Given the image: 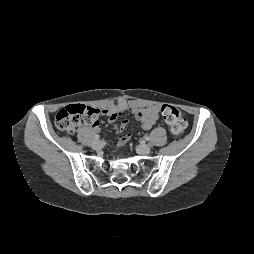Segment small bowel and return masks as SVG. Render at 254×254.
<instances>
[{
    "instance_id": "c3829d8e",
    "label": "small bowel",
    "mask_w": 254,
    "mask_h": 254,
    "mask_svg": "<svg viewBox=\"0 0 254 254\" xmlns=\"http://www.w3.org/2000/svg\"><path fill=\"white\" fill-rule=\"evenodd\" d=\"M99 114L107 117V120L112 123L115 122L122 114L128 112L132 114L139 122L140 127L143 130H149L155 125L159 119V115L156 107L154 106H140L138 104H129L124 100L118 101L115 105L98 110ZM128 121L122 120L119 125V130H123ZM92 128L95 131H99L100 125L99 121L96 120L92 124ZM122 139L128 141L130 139V135H126ZM121 142V141H120Z\"/></svg>"
}]
</instances>
